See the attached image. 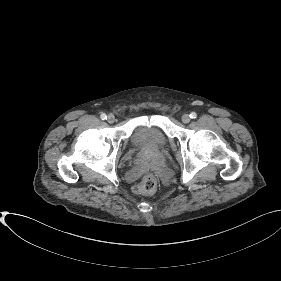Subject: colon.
I'll return each instance as SVG.
<instances>
[{
    "label": "colon",
    "instance_id": "5ec220e1",
    "mask_svg": "<svg viewBox=\"0 0 281 281\" xmlns=\"http://www.w3.org/2000/svg\"><path fill=\"white\" fill-rule=\"evenodd\" d=\"M156 187V176L153 172H148L143 177L140 184L133 187L132 191L135 195H146L154 191Z\"/></svg>",
    "mask_w": 281,
    "mask_h": 281
}]
</instances>
